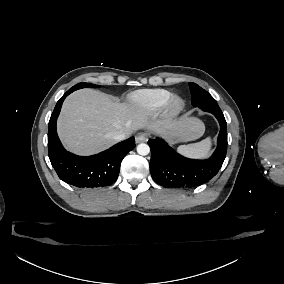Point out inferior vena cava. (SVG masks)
Listing matches in <instances>:
<instances>
[{
  "instance_id": "602c4592",
  "label": "inferior vena cava",
  "mask_w": 284,
  "mask_h": 284,
  "mask_svg": "<svg viewBox=\"0 0 284 284\" xmlns=\"http://www.w3.org/2000/svg\"><path fill=\"white\" fill-rule=\"evenodd\" d=\"M124 139H126L125 133H118L114 136L115 141H121V140H124Z\"/></svg>"
}]
</instances>
